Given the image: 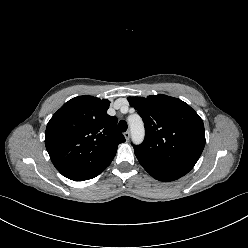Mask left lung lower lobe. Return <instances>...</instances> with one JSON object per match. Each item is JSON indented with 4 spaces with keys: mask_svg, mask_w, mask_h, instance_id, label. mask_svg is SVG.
I'll use <instances>...</instances> for the list:
<instances>
[{
    "mask_svg": "<svg viewBox=\"0 0 248 248\" xmlns=\"http://www.w3.org/2000/svg\"><path fill=\"white\" fill-rule=\"evenodd\" d=\"M146 170V169H145ZM152 177L160 181H173L179 179L181 176L167 173H160L152 170H146Z\"/></svg>",
    "mask_w": 248,
    "mask_h": 248,
    "instance_id": "obj_1",
    "label": "left lung lower lobe"
}]
</instances>
